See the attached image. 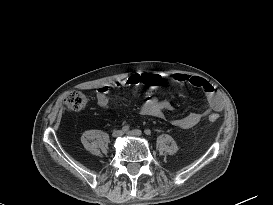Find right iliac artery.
<instances>
[{
	"instance_id": "82829eb1",
	"label": "right iliac artery",
	"mask_w": 273,
	"mask_h": 205,
	"mask_svg": "<svg viewBox=\"0 0 273 205\" xmlns=\"http://www.w3.org/2000/svg\"><path fill=\"white\" fill-rule=\"evenodd\" d=\"M130 129L129 125H125L122 127V131L127 132Z\"/></svg>"
}]
</instances>
